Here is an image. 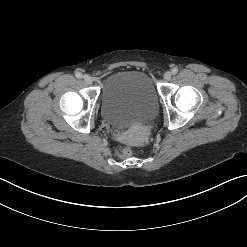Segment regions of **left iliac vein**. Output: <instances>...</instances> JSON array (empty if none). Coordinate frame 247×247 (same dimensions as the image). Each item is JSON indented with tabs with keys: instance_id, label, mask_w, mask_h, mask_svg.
<instances>
[{
	"instance_id": "left-iliac-vein-1",
	"label": "left iliac vein",
	"mask_w": 247,
	"mask_h": 247,
	"mask_svg": "<svg viewBox=\"0 0 247 247\" xmlns=\"http://www.w3.org/2000/svg\"><path fill=\"white\" fill-rule=\"evenodd\" d=\"M172 77V73L170 71H167L164 74V80L168 81Z\"/></svg>"
}]
</instances>
